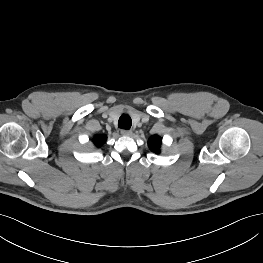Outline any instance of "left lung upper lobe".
I'll use <instances>...</instances> for the list:
<instances>
[{"mask_svg":"<svg viewBox=\"0 0 263 263\" xmlns=\"http://www.w3.org/2000/svg\"><path fill=\"white\" fill-rule=\"evenodd\" d=\"M161 142H162V139L155 135V136H152L149 138L148 140V144H149V148L155 152V153H159L160 152V146H161Z\"/></svg>","mask_w":263,"mask_h":263,"instance_id":"1","label":"left lung upper lobe"}]
</instances>
